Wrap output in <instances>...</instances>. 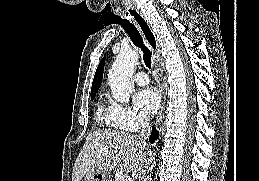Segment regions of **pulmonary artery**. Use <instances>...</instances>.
Segmentation results:
<instances>
[{"label":"pulmonary artery","mask_w":259,"mask_h":181,"mask_svg":"<svg viewBox=\"0 0 259 181\" xmlns=\"http://www.w3.org/2000/svg\"><path fill=\"white\" fill-rule=\"evenodd\" d=\"M134 81L140 86H145L149 83V78L144 71H139L134 76Z\"/></svg>","instance_id":"1"}]
</instances>
